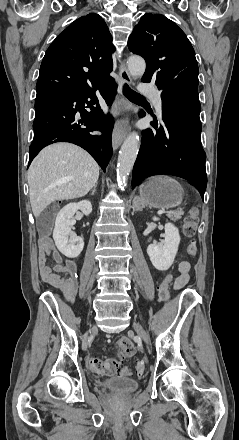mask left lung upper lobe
I'll use <instances>...</instances> for the list:
<instances>
[{"instance_id":"1","label":"left lung upper lobe","mask_w":239,"mask_h":440,"mask_svg":"<svg viewBox=\"0 0 239 440\" xmlns=\"http://www.w3.org/2000/svg\"><path fill=\"white\" fill-rule=\"evenodd\" d=\"M128 48L146 61L143 82L159 90L198 92V64L185 33L161 14H144L128 40Z\"/></svg>"}]
</instances>
